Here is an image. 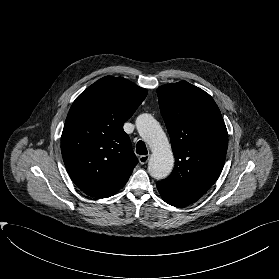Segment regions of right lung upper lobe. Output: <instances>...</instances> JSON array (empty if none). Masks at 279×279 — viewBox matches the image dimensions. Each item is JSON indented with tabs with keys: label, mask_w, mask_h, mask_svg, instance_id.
I'll list each match as a JSON object with an SVG mask.
<instances>
[{
	"label": "right lung upper lobe",
	"mask_w": 279,
	"mask_h": 279,
	"mask_svg": "<svg viewBox=\"0 0 279 279\" xmlns=\"http://www.w3.org/2000/svg\"><path fill=\"white\" fill-rule=\"evenodd\" d=\"M146 95L129 80L106 76L72 104L61 152L71 179L87 195L107 198L127 183L138 161L123 124Z\"/></svg>",
	"instance_id": "right-lung-upper-lobe-1"
}]
</instances>
